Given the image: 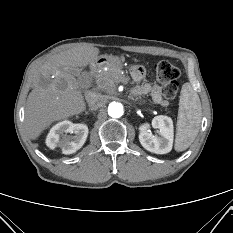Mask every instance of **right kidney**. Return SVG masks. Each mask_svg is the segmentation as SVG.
<instances>
[{"label":"right kidney","mask_w":233,"mask_h":233,"mask_svg":"<svg viewBox=\"0 0 233 233\" xmlns=\"http://www.w3.org/2000/svg\"><path fill=\"white\" fill-rule=\"evenodd\" d=\"M67 133H74V136L67 135ZM87 136V125L81 123L73 124L65 120L51 128L46 138V145L50 149H54L58 146L62 149L63 154H72L83 146Z\"/></svg>","instance_id":"ca27d5eb"}]
</instances>
